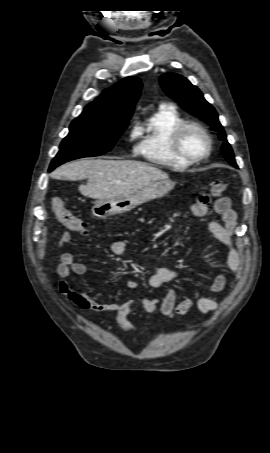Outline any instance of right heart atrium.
<instances>
[{
	"label": "right heart atrium",
	"mask_w": 270,
	"mask_h": 453,
	"mask_svg": "<svg viewBox=\"0 0 270 453\" xmlns=\"http://www.w3.org/2000/svg\"><path fill=\"white\" fill-rule=\"evenodd\" d=\"M138 134V129L134 128L131 132V137L134 138Z\"/></svg>",
	"instance_id": "1"
}]
</instances>
